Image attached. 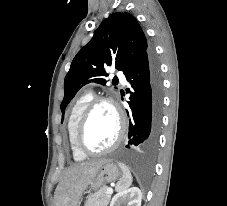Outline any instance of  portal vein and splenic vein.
<instances>
[{"label": "portal vein and splenic vein", "mask_w": 227, "mask_h": 206, "mask_svg": "<svg viewBox=\"0 0 227 206\" xmlns=\"http://www.w3.org/2000/svg\"><path fill=\"white\" fill-rule=\"evenodd\" d=\"M107 193L108 194H112L113 193V189L112 188H108Z\"/></svg>", "instance_id": "obj_1"}]
</instances>
